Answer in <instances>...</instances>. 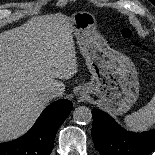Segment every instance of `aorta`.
Here are the masks:
<instances>
[{
    "mask_svg": "<svg viewBox=\"0 0 155 155\" xmlns=\"http://www.w3.org/2000/svg\"><path fill=\"white\" fill-rule=\"evenodd\" d=\"M73 119L78 124H88L92 120L91 110L86 106H79L73 112Z\"/></svg>",
    "mask_w": 155,
    "mask_h": 155,
    "instance_id": "aorta-1",
    "label": "aorta"
}]
</instances>
